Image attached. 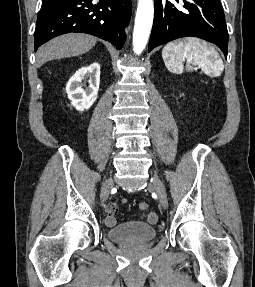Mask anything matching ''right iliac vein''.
<instances>
[{
    "instance_id": "right-iliac-vein-1",
    "label": "right iliac vein",
    "mask_w": 255,
    "mask_h": 287,
    "mask_svg": "<svg viewBox=\"0 0 255 287\" xmlns=\"http://www.w3.org/2000/svg\"><path fill=\"white\" fill-rule=\"evenodd\" d=\"M112 186H113L112 179H107L104 182L102 189H101V195H100L102 202L106 201V199L108 198Z\"/></svg>"
}]
</instances>
